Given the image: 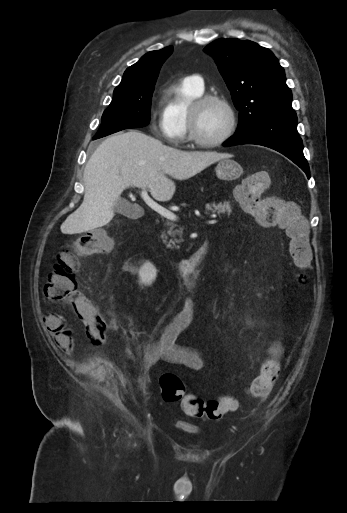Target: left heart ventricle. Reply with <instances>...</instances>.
<instances>
[{
    "label": "left heart ventricle",
    "mask_w": 347,
    "mask_h": 513,
    "mask_svg": "<svg viewBox=\"0 0 347 513\" xmlns=\"http://www.w3.org/2000/svg\"><path fill=\"white\" fill-rule=\"evenodd\" d=\"M228 122L226 109L215 102L202 106L196 113L197 132L205 140H215L222 136Z\"/></svg>",
    "instance_id": "1"
}]
</instances>
